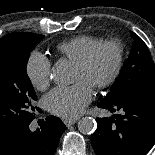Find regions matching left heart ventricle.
Masks as SVG:
<instances>
[{
    "mask_svg": "<svg viewBox=\"0 0 155 155\" xmlns=\"http://www.w3.org/2000/svg\"><path fill=\"white\" fill-rule=\"evenodd\" d=\"M116 61V51L112 47L102 48L89 68L83 70L75 66L74 81H83L89 86L106 79L112 72Z\"/></svg>",
    "mask_w": 155,
    "mask_h": 155,
    "instance_id": "obj_1",
    "label": "left heart ventricle"
}]
</instances>
